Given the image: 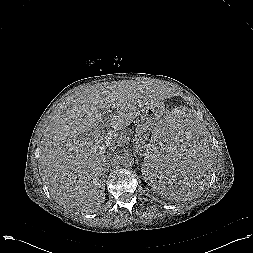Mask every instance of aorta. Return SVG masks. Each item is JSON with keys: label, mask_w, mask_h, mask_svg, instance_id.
<instances>
[{"label": "aorta", "mask_w": 253, "mask_h": 253, "mask_svg": "<svg viewBox=\"0 0 253 253\" xmlns=\"http://www.w3.org/2000/svg\"><path fill=\"white\" fill-rule=\"evenodd\" d=\"M119 164L124 168H130L134 164V157L131 153L125 152L118 156Z\"/></svg>", "instance_id": "obj_1"}]
</instances>
